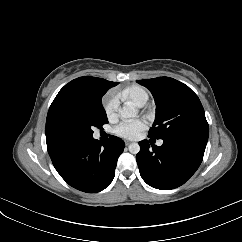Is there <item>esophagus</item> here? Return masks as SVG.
I'll list each match as a JSON object with an SVG mask.
<instances>
[{
  "instance_id": "1",
  "label": "esophagus",
  "mask_w": 242,
  "mask_h": 242,
  "mask_svg": "<svg viewBox=\"0 0 242 242\" xmlns=\"http://www.w3.org/2000/svg\"><path fill=\"white\" fill-rule=\"evenodd\" d=\"M130 143V141H125V145H129Z\"/></svg>"
}]
</instances>
